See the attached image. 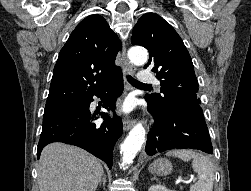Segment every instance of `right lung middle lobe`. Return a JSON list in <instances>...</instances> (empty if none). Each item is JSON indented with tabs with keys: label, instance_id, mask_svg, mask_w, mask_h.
Wrapping results in <instances>:
<instances>
[{
	"label": "right lung middle lobe",
	"instance_id": "right-lung-middle-lobe-1",
	"mask_svg": "<svg viewBox=\"0 0 251 191\" xmlns=\"http://www.w3.org/2000/svg\"><path fill=\"white\" fill-rule=\"evenodd\" d=\"M82 107H84L83 103L79 102V103H74V104H70V105H66V106H62V107H58V108H54V109H45L43 118H46L51 115L61 113L64 111H68L71 109L82 108Z\"/></svg>",
	"mask_w": 251,
	"mask_h": 191
}]
</instances>
